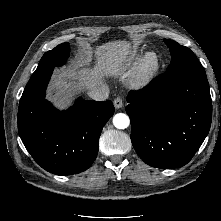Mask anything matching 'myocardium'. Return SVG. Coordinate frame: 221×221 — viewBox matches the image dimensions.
I'll list each match as a JSON object with an SVG mask.
<instances>
[{"label":"myocardium","instance_id":"1","mask_svg":"<svg viewBox=\"0 0 221 221\" xmlns=\"http://www.w3.org/2000/svg\"><path fill=\"white\" fill-rule=\"evenodd\" d=\"M160 67V57L155 51L146 52L138 61L131 77V85L144 87L148 85Z\"/></svg>","mask_w":221,"mask_h":221}]
</instances>
